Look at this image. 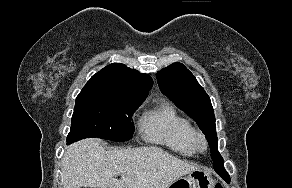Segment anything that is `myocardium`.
<instances>
[{
    "label": "myocardium",
    "mask_w": 292,
    "mask_h": 188,
    "mask_svg": "<svg viewBox=\"0 0 292 188\" xmlns=\"http://www.w3.org/2000/svg\"><path fill=\"white\" fill-rule=\"evenodd\" d=\"M193 144L195 149L198 151H206L208 148L205 136L199 132H195L193 136Z\"/></svg>",
    "instance_id": "1"
}]
</instances>
